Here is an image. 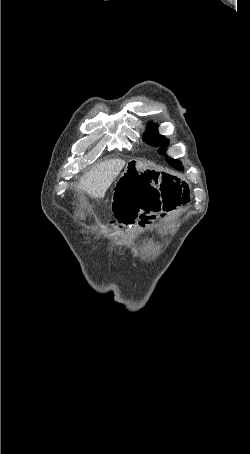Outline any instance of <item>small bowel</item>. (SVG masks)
I'll return each instance as SVG.
<instances>
[{
	"instance_id": "obj_1",
	"label": "small bowel",
	"mask_w": 250,
	"mask_h": 454,
	"mask_svg": "<svg viewBox=\"0 0 250 454\" xmlns=\"http://www.w3.org/2000/svg\"><path fill=\"white\" fill-rule=\"evenodd\" d=\"M188 185L171 175L136 170L124 173L116 182L112 198L120 225L147 226L153 220L186 204Z\"/></svg>"
}]
</instances>
